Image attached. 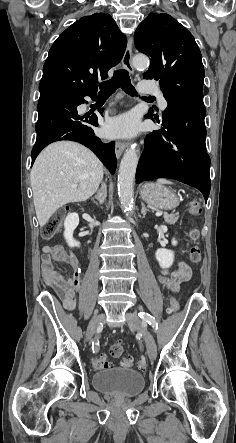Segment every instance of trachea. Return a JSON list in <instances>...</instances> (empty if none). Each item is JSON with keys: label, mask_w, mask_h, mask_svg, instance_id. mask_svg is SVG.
<instances>
[{"label": "trachea", "mask_w": 236, "mask_h": 443, "mask_svg": "<svg viewBox=\"0 0 236 443\" xmlns=\"http://www.w3.org/2000/svg\"><path fill=\"white\" fill-rule=\"evenodd\" d=\"M99 88V96L101 97L111 96L118 88H121L128 95H137L134 86L131 84L129 73L125 69H119L115 71L113 77L110 80L99 84ZM144 99L149 100L151 99V97Z\"/></svg>", "instance_id": "3493384b"}]
</instances>
